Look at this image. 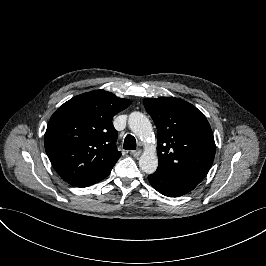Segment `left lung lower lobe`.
Listing matches in <instances>:
<instances>
[{"instance_id":"left-lung-lower-lobe-1","label":"left lung lower lobe","mask_w":266,"mask_h":266,"mask_svg":"<svg viewBox=\"0 0 266 266\" xmlns=\"http://www.w3.org/2000/svg\"><path fill=\"white\" fill-rule=\"evenodd\" d=\"M148 180L158 192L168 197L182 196L196 186L159 170L149 175Z\"/></svg>"}]
</instances>
